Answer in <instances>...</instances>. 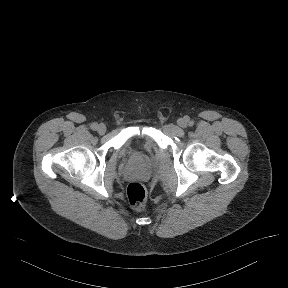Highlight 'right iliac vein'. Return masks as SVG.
<instances>
[{
  "label": "right iliac vein",
  "instance_id": "1",
  "mask_svg": "<svg viewBox=\"0 0 288 288\" xmlns=\"http://www.w3.org/2000/svg\"><path fill=\"white\" fill-rule=\"evenodd\" d=\"M97 131H98V133H99L100 135L105 134V132H106V126H105L104 124H99V125L97 126Z\"/></svg>",
  "mask_w": 288,
  "mask_h": 288
}]
</instances>
